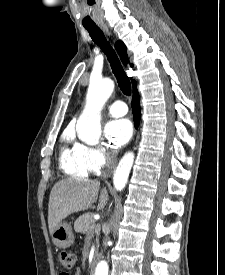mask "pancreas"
Here are the masks:
<instances>
[{
  "label": "pancreas",
  "instance_id": "obj_1",
  "mask_svg": "<svg viewBox=\"0 0 225 275\" xmlns=\"http://www.w3.org/2000/svg\"><path fill=\"white\" fill-rule=\"evenodd\" d=\"M74 230L78 233H84L89 236L99 235L100 226L95 224L93 214L86 213L81 215L74 223Z\"/></svg>",
  "mask_w": 225,
  "mask_h": 275
}]
</instances>
